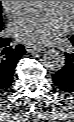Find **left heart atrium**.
Listing matches in <instances>:
<instances>
[{
  "label": "left heart atrium",
  "mask_w": 74,
  "mask_h": 122,
  "mask_svg": "<svg viewBox=\"0 0 74 122\" xmlns=\"http://www.w3.org/2000/svg\"><path fill=\"white\" fill-rule=\"evenodd\" d=\"M69 26L70 19L57 6L25 11L11 23V29L18 41L36 45L53 42Z\"/></svg>",
  "instance_id": "left-heart-atrium-1"
}]
</instances>
